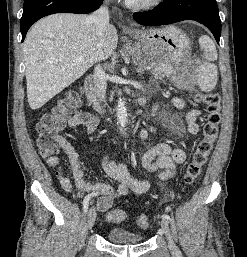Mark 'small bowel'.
Instances as JSON below:
<instances>
[{
    "label": "small bowel",
    "instance_id": "obj_1",
    "mask_svg": "<svg viewBox=\"0 0 247 257\" xmlns=\"http://www.w3.org/2000/svg\"><path fill=\"white\" fill-rule=\"evenodd\" d=\"M173 103L177 108H182L184 103L179 98H174ZM200 116V111L193 109L187 113L186 120L188 129L192 134L198 132V125L196 123L197 118ZM70 127L78 125L86 126L89 133H94L98 126L97 119L89 113H76L69 121ZM155 133V128L149 127L142 129L140 137L142 139L148 137V135ZM60 149L67 155L69 159L70 168L73 175V180L82 193L87 195H93L92 197H98L96 200V208L98 211L108 210L113 201L119 197L126 195L129 191H133L138 194L145 193L149 190V183L145 180H138L134 178L127 170L126 166L121 163H116L105 157L103 161V169L108 177L118 182L116 188L103 183L91 184L87 182L83 177V172L80 167V161L78 153L73 145L63 137H59ZM186 158L185 152L180 148H172L166 143H158L150 148L143 156V165L150 171L161 169V178H171L176 169V165L182 163ZM47 164L50 167L57 169V176L60 185L66 192L72 191V183L69 177L66 175V168L61 164L58 156L54 155L46 159Z\"/></svg>",
    "mask_w": 247,
    "mask_h": 257
}]
</instances>
